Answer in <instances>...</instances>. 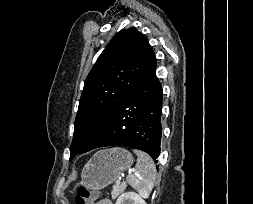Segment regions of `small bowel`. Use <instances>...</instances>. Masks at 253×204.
Returning a JSON list of instances; mask_svg holds the SVG:
<instances>
[{
  "mask_svg": "<svg viewBox=\"0 0 253 204\" xmlns=\"http://www.w3.org/2000/svg\"><path fill=\"white\" fill-rule=\"evenodd\" d=\"M96 204H113V203L108 199H102L98 201Z\"/></svg>",
  "mask_w": 253,
  "mask_h": 204,
  "instance_id": "obj_1",
  "label": "small bowel"
}]
</instances>
